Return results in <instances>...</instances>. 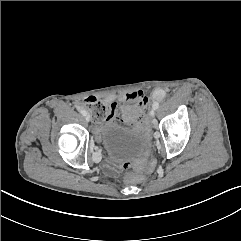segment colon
Segmentation results:
<instances>
[{
  "instance_id": "colon-1",
  "label": "colon",
  "mask_w": 241,
  "mask_h": 241,
  "mask_svg": "<svg viewBox=\"0 0 241 241\" xmlns=\"http://www.w3.org/2000/svg\"><path fill=\"white\" fill-rule=\"evenodd\" d=\"M81 106L89 112L95 121L98 122L108 120L113 113V107L111 104H108L93 96L83 99ZM131 163L135 170L134 172L127 174V180L130 182H141L144 180L145 173L151 175L155 171L152 162L146 158L140 159L137 157L133 159ZM129 167L130 165L128 163L123 165L124 170H128Z\"/></svg>"
}]
</instances>
